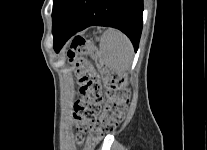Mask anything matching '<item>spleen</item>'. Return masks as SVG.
<instances>
[{
	"mask_svg": "<svg viewBox=\"0 0 207 150\" xmlns=\"http://www.w3.org/2000/svg\"><path fill=\"white\" fill-rule=\"evenodd\" d=\"M99 47L101 60L108 68L117 73L129 70L133 60V46L126 35L109 28L103 33Z\"/></svg>",
	"mask_w": 207,
	"mask_h": 150,
	"instance_id": "spleen-1",
	"label": "spleen"
}]
</instances>
